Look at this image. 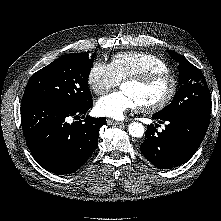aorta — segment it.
Returning <instances> with one entry per match:
<instances>
[{
    "label": "aorta",
    "mask_w": 221,
    "mask_h": 221,
    "mask_svg": "<svg viewBox=\"0 0 221 221\" xmlns=\"http://www.w3.org/2000/svg\"><path fill=\"white\" fill-rule=\"evenodd\" d=\"M128 131L132 137L139 138L143 136L145 129L141 123L133 122L129 125Z\"/></svg>",
    "instance_id": "obj_1"
}]
</instances>
